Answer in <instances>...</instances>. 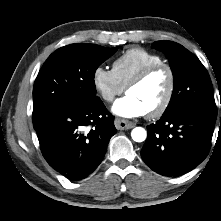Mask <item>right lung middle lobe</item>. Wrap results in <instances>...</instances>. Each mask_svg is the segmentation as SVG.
I'll return each mask as SVG.
<instances>
[{"label": "right lung middle lobe", "instance_id": "right-lung-middle-lobe-1", "mask_svg": "<svg viewBox=\"0 0 221 221\" xmlns=\"http://www.w3.org/2000/svg\"><path fill=\"white\" fill-rule=\"evenodd\" d=\"M116 51L117 47L80 43L52 53L35 80L33 126L61 106L96 101L99 97L96 96L95 71Z\"/></svg>", "mask_w": 221, "mask_h": 221}]
</instances>
